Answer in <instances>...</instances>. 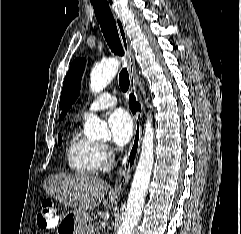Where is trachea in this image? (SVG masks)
<instances>
[{"label": "trachea", "mask_w": 241, "mask_h": 234, "mask_svg": "<svg viewBox=\"0 0 241 234\" xmlns=\"http://www.w3.org/2000/svg\"><path fill=\"white\" fill-rule=\"evenodd\" d=\"M90 1L109 48L114 54L124 56L116 22L107 0ZM119 86L123 92H126L129 88V74L126 68H123L119 74Z\"/></svg>", "instance_id": "3493384b"}]
</instances>
